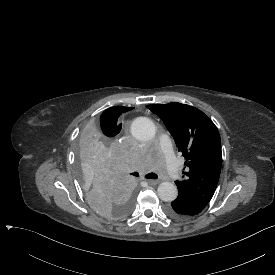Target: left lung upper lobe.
I'll return each instance as SVG.
<instances>
[{
  "label": "left lung upper lobe",
  "mask_w": 275,
  "mask_h": 275,
  "mask_svg": "<svg viewBox=\"0 0 275 275\" xmlns=\"http://www.w3.org/2000/svg\"><path fill=\"white\" fill-rule=\"evenodd\" d=\"M158 114L186 161L185 179L176 181L181 195L208 204L215 192L222 165L217 127L199 109L177 102L147 105Z\"/></svg>",
  "instance_id": "5c2ea615"
}]
</instances>
